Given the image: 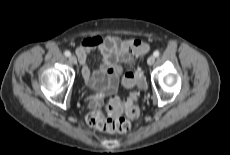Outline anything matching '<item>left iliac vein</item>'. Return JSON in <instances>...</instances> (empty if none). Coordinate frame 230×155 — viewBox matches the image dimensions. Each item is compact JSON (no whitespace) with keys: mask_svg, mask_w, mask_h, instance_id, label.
<instances>
[{"mask_svg":"<svg viewBox=\"0 0 230 155\" xmlns=\"http://www.w3.org/2000/svg\"><path fill=\"white\" fill-rule=\"evenodd\" d=\"M154 62H155V57H154V56H150V57L147 59L148 65H153Z\"/></svg>","mask_w":230,"mask_h":155,"instance_id":"1","label":"left iliac vein"}]
</instances>
